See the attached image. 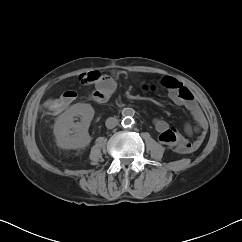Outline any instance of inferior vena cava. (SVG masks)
Returning <instances> with one entry per match:
<instances>
[{"mask_svg": "<svg viewBox=\"0 0 242 242\" xmlns=\"http://www.w3.org/2000/svg\"><path fill=\"white\" fill-rule=\"evenodd\" d=\"M105 125L108 129H113L118 125V120L115 117H109L106 120Z\"/></svg>", "mask_w": 242, "mask_h": 242, "instance_id": "obj_1", "label": "inferior vena cava"}]
</instances>
